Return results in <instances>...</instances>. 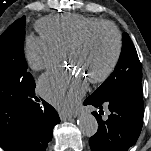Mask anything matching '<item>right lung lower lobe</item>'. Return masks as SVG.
Segmentation results:
<instances>
[{
    "instance_id": "right-lung-lower-lobe-1",
    "label": "right lung lower lobe",
    "mask_w": 151,
    "mask_h": 151,
    "mask_svg": "<svg viewBox=\"0 0 151 151\" xmlns=\"http://www.w3.org/2000/svg\"><path fill=\"white\" fill-rule=\"evenodd\" d=\"M5 79L0 78V88L5 89ZM35 82L31 75L30 88L27 89L28 97L26 112V137L21 151H46L48 143L52 140V130L60 122L56 110L48 103L43 102L44 108L34 101Z\"/></svg>"
}]
</instances>
